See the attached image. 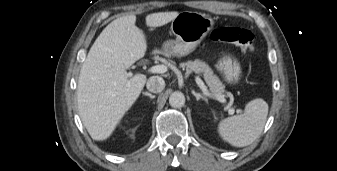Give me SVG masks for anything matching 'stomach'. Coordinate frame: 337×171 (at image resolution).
<instances>
[{"instance_id": "obj_1", "label": "stomach", "mask_w": 337, "mask_h": 171, "mask_svg": "<svg viewBox=\"0 0 337 171\" xmlns=\"http://www.w3.org/2000/svg\"><path fill=\"white\" fill-rule=\"evenodd\" d=\"M214 21L206 14L183 11L171 23L175 40L163 44V52L168 56H186L193 52L213 28ZM228 83H237L241 77V67L237 59L224 55L216 64Z\"/></svg>"}]
</instances>
